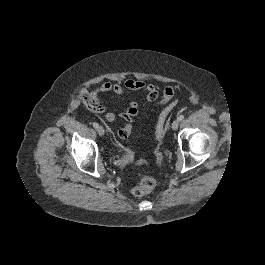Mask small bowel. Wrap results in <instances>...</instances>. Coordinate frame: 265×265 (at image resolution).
Returning <instances> with one entry per match:
<instances>
[{
  "instance_id": "1",
  "label": "small bowel",
  "mask_w": 265,
  "mask_h": 265,
  "mask_svg": "<svg viewBox=\"0 0 265 265\" xmlns=\"http://www.w3.org/2000/svg\"><path fill=\"white\" fill-rule=\"evenodd\" d=\"M126 90L131 91H144L146 99L148 101H155L158 98V90L154 84L146 83L142 80H136L132 78L125 79L122 83L116 82H104L100 84L94 90H88L87 88H82L79 91V96L84 103V105L95 113H103L106 121L113 123L117 120L116 115L109 111L99 98L101 93H114L121 95ZM162 104H166L164 98L161 100ZM138 104L136 102H131L129 107L120 114V118L126 122L124 127L129 128L131 131L130 122L138 114Z\"/></svg>"
}]
</instances>
